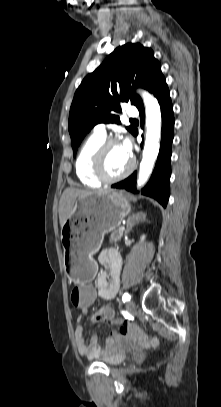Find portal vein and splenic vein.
<instances>
[{
  "instance_id": "18ae733b",
  "label": "portal vein and splenic vein",
  "mask_w": 221,
  "mask_h": 407,
  "mask_svg": "<svg viewBox=\"0 0 221 407\" xmlns=\"http://www.w3.org/2000/svg\"><path fill=\"white\" fill-rule=\"evenodd\" d=\"M125 230V227L124 226H121L120 228H119V231H124Z\"/></svg>"
}]
</instances>
